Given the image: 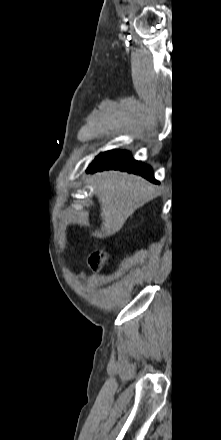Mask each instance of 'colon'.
<instances>
[{
    "instance_id": "5ec220e1",
    "label": "colon",
    "mask_w": 221,
    "mask_h": 440,
    "mask_svg": "<svg viewBox=\"0 0 221 440\" xmlns=\"http://www.w3.org/2000/svg\"><path fill=\"white\" fill-rule=\"evenodd\" d=\"M89 263L94 269H102L107 263V255L102 251H97L91 255Z\"/></svg>"
}]
</instances>
